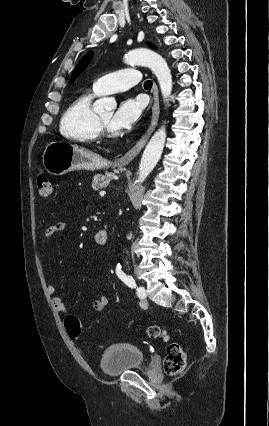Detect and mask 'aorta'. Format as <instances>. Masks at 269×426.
<instances>
[{"label": "aorta", "instance_id": "aorta-1", "mask_svg": "<svg viewBox=\"0 0 269 426\" xmlns=\"http://www.w3.org/2000/svg\"><path fill=\"white\" fill-rule=\"evenodd\" d=\"M127 64H136L149 67L157 77L161 93L165 102L168 103L172 92V75L165 59L158 53L149 49H136L128 52L124 59ZM116 102L109 98H102L94 103V111L102 113L106 109H112ZM166 140L165 126L160 127L148 142L139 164L138 180L143 182L159 161Z\"/></svg>", "mask_w": 269, "mask_h": 426}]
</instances>
